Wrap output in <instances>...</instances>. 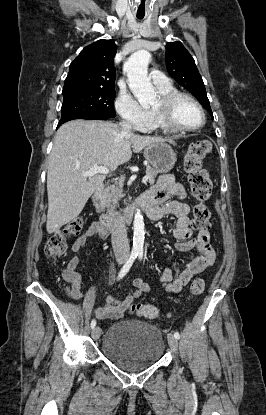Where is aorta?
<instances>
[{"label": "aorta", "instance_id": "obj_1", "mask_svg": "<svg viewBox=\"0 0 266 415\" xmlns=\"http://www.w3.org/2000/svg\"><path fill=\"white\" fill-rule=\"evenodd\" d=\"M151 54L147 50L134 52L124 63V71L127 73L128 85L142 106L150 105L155 99L153 85L147 77L148 64ZM133 249L142 251L144 245V220L140 210H137L133 223Z\"/></svg>", "mask_w": 266, "mask_h": 415}]
</instances>
